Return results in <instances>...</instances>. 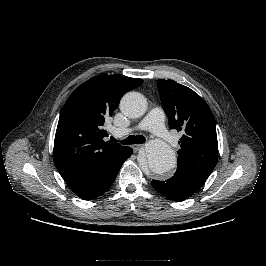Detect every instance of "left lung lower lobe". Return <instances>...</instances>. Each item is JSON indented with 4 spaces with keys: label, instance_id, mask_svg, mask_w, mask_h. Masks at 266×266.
<instances>
[{
    "label": "left lung lower lobe",
    "instance_id": "left-lung-lower-lobe-1",
    "mask_svg": "<svg viewBox=\"0 0 266 266\" xmlns=\"http://www.w3.org/2000/svg\"><path fill=\"white\" fill-rule=\"evenodd\" d=\"M151 183L156 191L168 199L183 201L193 195L205 181L177 169L171 178L165 181L152 180Z\"/></svg>",
    "mask_w": 266,
    "mask_h": 266
}]
</instances>
